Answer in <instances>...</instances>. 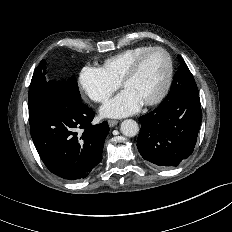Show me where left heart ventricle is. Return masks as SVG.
Instances as JSON below:
<instances>
[{
	"label": "left heart ventricle",
	"instance_id": "left-heart-ventricle-1",
	"mask_svg": "<svg viewBox=\"0 0 232 232\" xmlns=\"http://www.w3.org/2000/svg\"><path fill=\"white\" fill-rule=\"evenodd\" d=\"M168 61L164 53L153 52L145 57L136 75L124 89L133 93L143 103L156 97L166 81Z\"/></svg>",
	"mask_w": 232,
	"mask_h": 232
}]
</instances>
